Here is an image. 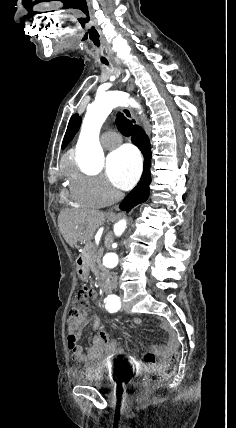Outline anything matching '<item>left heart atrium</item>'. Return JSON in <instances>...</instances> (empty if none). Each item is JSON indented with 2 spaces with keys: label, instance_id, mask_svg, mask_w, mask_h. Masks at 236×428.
<instances>
[{
  "label": "left heart atrium",
  "instance_id": "39dd6f15",
  "mask_svg": "<svg viewBox=\"0 0 236 428\" xmlns=\"http://www.w3.org/2000/svg\"><path fill=\"white\" fill-rule=\"evenodd\" d=\"M142 170L139 153L131 146L123 145L106 160V172L117 187L128 190L138 181Z\"/></svg>",
  "mask_w": 236,
  "mask_h": 428
}]
</instances>
